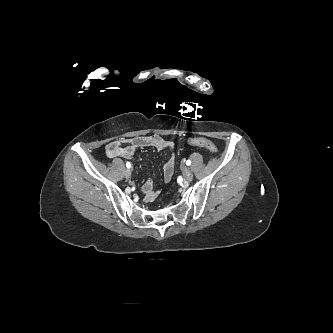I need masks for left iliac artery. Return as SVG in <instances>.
Instances as JSON below:
<instances>
[{
    "label": "left iliac artery",
    "instance_id": "left-iliac-artery-1",
    "mask_svg": "<svg viewBox=\"0 0 333 333\" xmlns=\"http://www.w3.org/2000/svg\"><path fill=\"white\" fill-rule=\"evenodd\" d=\"M186 164L189 166V165H191V161L190 160H187L186 161Z\"/></svg>",
    "mask_w": 333,
    "mask_h": 333
}]
</instances>
